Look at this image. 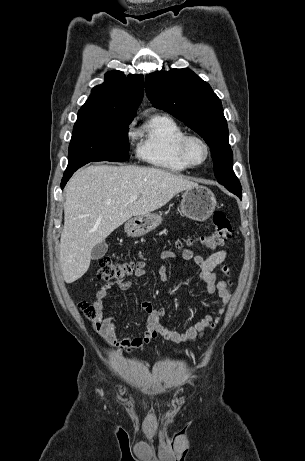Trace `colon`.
I'll list each match as a JSON object with an SVG mask.
<instances>
[{"label": "colon", "mask_w": 305, "mask_h": 461, "mask_svg": "<svg viewBox=\"0 0 305 461\" xmlns=\"http://www.w3.org/2000/svg\"><path fill=\"white\" fill-rule=\"evenodd\" d=\"M212 221L214 230L207 235H201L197 239L207 248L216 249L223 246L231 236L232 225L222 211H216L213 214ZM181 245V244H179ZM135 269V265L129 262H115L109 257L100 260L97 276L105 281H119L127 277ZM80 309L89 320H95L97 316L96 308L93 304L83 303Z\"/></svg>", "instance_id": "obj_1"}]
</instances>
